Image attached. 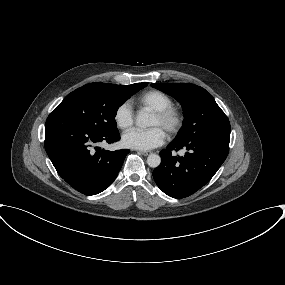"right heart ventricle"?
<instances>
[{
    "mask_svg": "<svg viewBox=\"0 0 285 285\" xmlns=\"http://www.w3.org/2000/svg\"><path fill=\"white\" fill-rule=\"evenodd\" d=\"M140 105L153 111H158L173 105L172 98L159 90H149L141 94L138 98Z\"/></svg>",
    "mask_w": 285,
    "mask_h": 285,
    "instance_id": "e07e8e85",
    "label": "right heart ventricle"
}]
</instances>
